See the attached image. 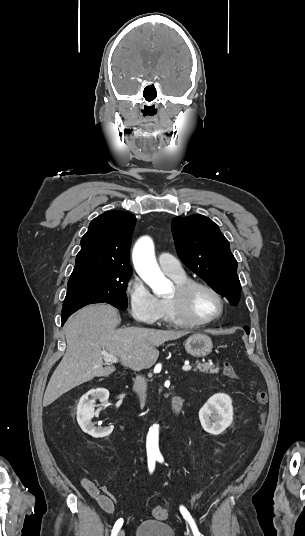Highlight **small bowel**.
Masks as SVG:
<instances>
[{"instance_id": "small-bowel-1", "label": "small bowel", "mask_w": 305, "mask_h": 536, "mask_svg": "<svg viewBox=\"0 0 305 536\" xmlns=\"http://www.w3.org/2000/svg\"><path fill=\"white\" fill-rule=\"evenodd\" d=\"M80 484L106 513L111 514L114 512L115 506L113 501L108 496L102 494L90 479L81 478Z\"/></svg>"}]
</instances>
